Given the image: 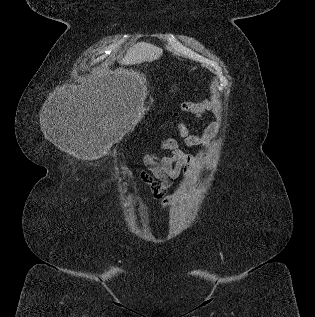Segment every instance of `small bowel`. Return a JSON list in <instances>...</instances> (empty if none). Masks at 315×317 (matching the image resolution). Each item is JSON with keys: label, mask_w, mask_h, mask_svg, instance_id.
<instances>
[{"label": "small bowel", "mask_w": 315, "mask_h": 317, "mask_svg": "<svg viewBox=\"0 0 315 317\" xmlns=\"http://www.w3.org/2000/svg\"><path fill=\"white\" fill-rule=\"evenodd\" d=\"M216 105L212 101L201 102H184L181 106V111L189 113L195 118H201L207 111H213ZM177 113H174L172 118H176ZM221 127L219 121L211 122L204 130L202 135L190 133L187 126L183 123H175L174 129L178 132L183 144L187 147L202 146L210 148L211 140L215 137ZM161 148L168 150L170 155L159 157L155 154L148 153L143 157V164L147 170H140V179L149 185L151 195L155 200H158L161 208H167L183 191L180 189L173 195H168L167 192L173 184V181L181 174H189L193 166V158L185 153L177 140L172 138L159 139Z\"/></svg>", "instance_id": "c3829d8e"}]
</instances>
